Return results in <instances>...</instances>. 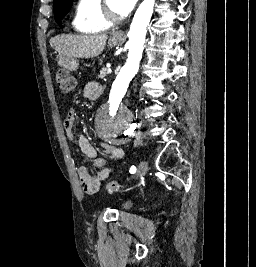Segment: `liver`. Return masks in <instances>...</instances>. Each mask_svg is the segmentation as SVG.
<instances>
[{"mask_svg":"<svg viewBox=\"0 0 256 267\" xmlns=\"http://www.w3.org/2000/svg\"><path fill=\"white\" fill-rule=\"evenodd\" d=\"M120 32H114L113 36H119ZM108 40L107 34H61L51 38L50 44L56 52L71 58H96L102 54Z\"/></svg>","mask_w":256,"mask_h":267,"instance_id":"liver-1","label":"liver"}]
</instances>
